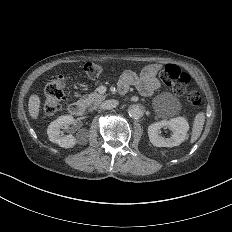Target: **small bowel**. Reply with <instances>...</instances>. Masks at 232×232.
Wrapping results in <instances>:
<instances>
[{
    "instance_id": "c3829d8e",
    "label": "small bowel",
    "mask_w": 232,
    "mask_h": 232,
    "mask_svg": "<svg viewBox=\"0 0 232 232\" xmlns=\"http://www.w3.org/2000/svg\"><path fill=\"white\" fill-rule=\"evenodd\" d=\"M158 70V65H149L140 75L128 70L124 72V77L134 83L144 97H151L161 87L156 77Z\"/></svg>"
}]
</instances>
